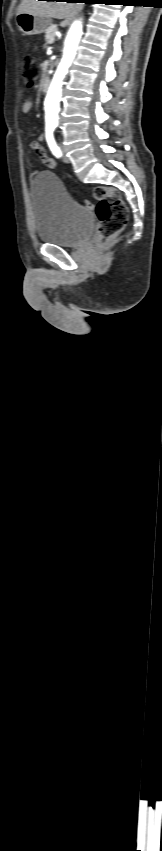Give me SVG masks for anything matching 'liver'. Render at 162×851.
Wrapping results in <instances>:
<instances>
[{
  "mask_svg": "<svg viewBox=\"0 0 162 851\" xmlns=\"http://www.w3.org/2000/svg\"><path fill=\"white\" fill-rule=\"evenodd\" d=\"M82 5L56 1L22 0L18 13H31L47 18L64 19L62 26H67Z\"/></svg>",
  "mask_w": 162,
  "mask_h": 851,
  "instance_id": "obj_1",
  "label": "liver"
}]
</instances>
